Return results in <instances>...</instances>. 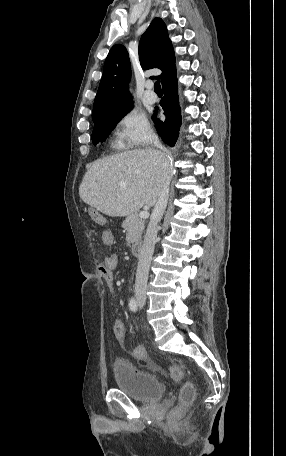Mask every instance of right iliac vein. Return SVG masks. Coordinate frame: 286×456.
I'll return each instance as SVG.
<instances>
[{"instance_id":"obj_1","label":"right iliac vein","mask_w":286,"mask_h":456,"mask_svg":"<svg viewBox=\"0 0 286 456\" xmlns=\"http://www.w3.org/2000/svg\"><path fill=\"white\" fill-rule=\"evenodd\" d=\"M138 301H139L140 303H143L145 300H144V298H142V297H138Z\"/></svg>"}]
</instances>
